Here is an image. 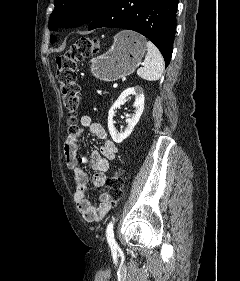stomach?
<instances>
[{"instance_id":"1","label":"stomach","mask_w":240,"mask_h":281,"mask_svg":"<svg viewBox=\"0 0 240 281\" xmlns=\"http://www.w3.org/2000/svg\"><path fill=\"white\" fill-rule=\"evenodd\" d=\"M146 51V39L133 31H121L104 54L91 60L92 74L104 81H115L132 74Z\"/></svg>"}]
</instances>
